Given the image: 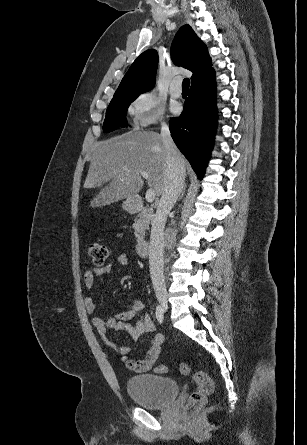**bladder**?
Instances as JSON below:
<instances>
[{
	"label": "bladder",
	"mask_w": 307,
	"mask_h": 445,
	"mask_svg": "<svg viewBox=\"0 0 307 445\" xmlns=\"http://www.w3.org/2000/svg\"><path fill=\"white\" fill-rule=\"evenodd\" d=\"M126 388L130 398L147 409H161L169 405L179 392L175 380L150 373L129 377Z\"/></svg>",
	"instance_id": "bladder-1"
}]
</instances>
